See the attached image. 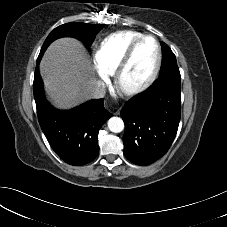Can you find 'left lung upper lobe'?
<instances>
[{"label":"left lung upper lobe","instance_id":"obj_1","mask_svg":"<svg viewBox=\"0 0 227 227\" xmlns=\"http://www.w3.org/2000/svg\"><path fill=\"white\" fill-rule=\"evenodd\" d=\"M163 49V63L160 71L159 78L154 84H172L180 86L181 76L177 66L176 57L169 46L161 43Z\"/></svg>","mask_w":227,"mask_h":227}]
</instances>
